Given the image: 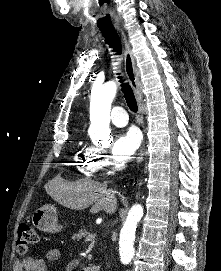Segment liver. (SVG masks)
<instances>
[{
    "mask_svg": "<svg viewBox=\"0 0 221 271\" xmlns=\"http://www.w3.org/2000/svg\"><path fill=\"white\" fill-rule=\"evenodd\" d=\"M45 189L55 201H58L64 207H70V209H85V207L94 203V209H104L106 213L117 211L116 197H103L107 191L106 183L94 181L89 177L77 179L73 183L64 181L61 177L50 179L46 183ZM95 191H98V193H95Z\"/></svg>",
    "mask_w": 221,
    "mask_h": 271,
    "instance_id": "6515ba94",
    "label": "liver"
}]
</instances>
